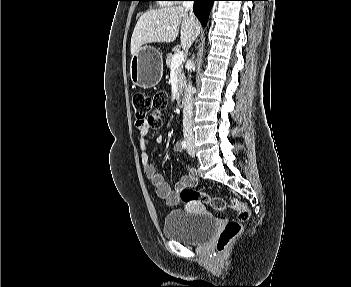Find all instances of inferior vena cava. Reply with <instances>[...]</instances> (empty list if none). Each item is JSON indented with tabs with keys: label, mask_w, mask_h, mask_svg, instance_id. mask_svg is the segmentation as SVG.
Masks as SVG:
<instances>
[{
	"label": "inferior vena cava",
	"mask_w": 351,
	"mask_h": 287,
	"mask_svg": "<svg viewBox=\"0 0 351 287\" xmlns=\"http://www.w3.org/2000/svg\"><path fill=\"white\" fill-rule=\"evenodd\" d=\"M193 1H184L183 2V8L185 10L190 11V17L192 20H195L194 14H193ZM191 63V61H190ZM193 93L194 89L192 85L189 83L188 86L186 87V96L183 102L184 108H183V135L186 139H194V133L192 129V124H193Z\"/></svg>",
	"instance_id": "obj_1"
}]
</instances>
